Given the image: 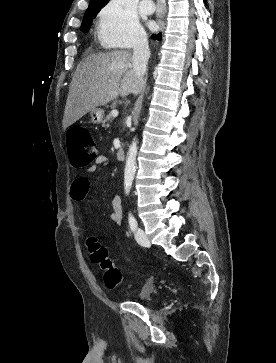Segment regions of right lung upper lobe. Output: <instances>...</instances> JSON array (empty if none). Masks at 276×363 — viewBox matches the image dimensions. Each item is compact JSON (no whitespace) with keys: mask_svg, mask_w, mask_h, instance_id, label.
Returning <instances> with one entry per match:
<instances>
[{"mask_svg":"<svg viewBox=\"0 0 276 363\" xmlns=\"http://www.w3.org/2000/svg\"><path fill=\"white\" fill-rule=\"evenodd\" d=\"M109 0H91L89 5L92 4H100V5H104L105 3H107Z\"/></svg>","mask_w":276,"mask_h":363,"instance_id":"right-lung-upper-lobe-1","label":"right lung upper lobe"}]
</instances>
